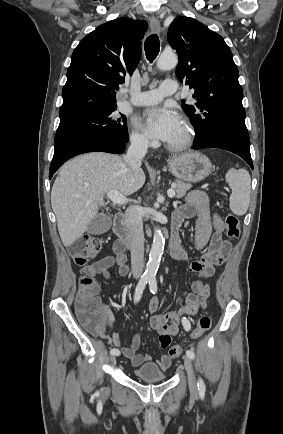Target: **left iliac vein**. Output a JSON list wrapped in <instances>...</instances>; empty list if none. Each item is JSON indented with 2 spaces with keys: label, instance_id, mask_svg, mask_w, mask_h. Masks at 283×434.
I'll return each instance as SVG.
<instances>
[{
  "label": "left iliac vein",
  "instance_id": "obj_1",
  "mask_svg": "<svg viewBox=\"0 0 283 434\" xmlns=\"http://www.w3.org/2000/svg\"><path fill=\"white\" fill-rule=\"evenodd\" d=\"M184 366L188 375L189 388L192 393H197V382L193 371L192 362L189 357H184Z\"/></svg>",
  "mask_w": 283,
  "mask_h": 434
}]
</instances>
